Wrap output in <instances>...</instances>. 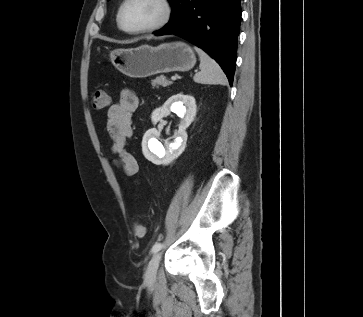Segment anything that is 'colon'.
<instances>
[{"instance_id":"1","label":"colon","mask_w":363,"mask_h":317,"mask_svg":"<svg viewBox=\"0 0 363 317\" xmlns=\"http://www.w3.org/2000/svg\"><path fill=\"white\" fill-rule=\"evenodd\" d=\"M92 107L96 110H102L109 105V96L105 91L98 90L92 94L91 97ZM146 232L145 227L142 224H136L134 226V233L136 236H144Z\"/></svg>"}]
</instances>
